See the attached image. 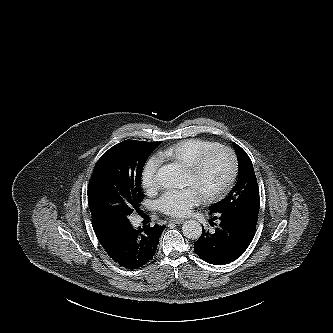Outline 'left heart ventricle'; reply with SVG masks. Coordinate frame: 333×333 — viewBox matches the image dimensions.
Instances as JSON below:
<instances>
[{"mask_svg":"<svg viewBox=\"0 0 333 333\" xmlns=\"http://www.w3.org/2000/svg\"><path fill=\"white\" fill-rule=\"evenodd\" d=\"M233 169V159L228 151L220 150L212 154L202 169L195 175L183 174L186 186L195 187L205 197L221 189L229 179Z\"/></svg>","mask_w":333,"mask_h":333,"instance_id":"obj_1","label":"left heart ventricle"}]
</instances>
